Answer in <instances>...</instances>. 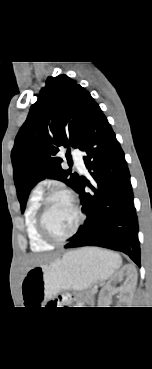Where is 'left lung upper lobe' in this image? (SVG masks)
Returning a JSON list of instances; mask_svg holds the SVG:
<instances>
[{
	"label": "left lung upper lobe",
	"instance_id": "obj_1",
	"mask_svg": "<svg viewBox=\"0 0 152 369\" xmlns=\"http://www.w3.org/2000/svg\"><path fill=\"white\" fill-rule=\"evenodd\" d=\"M98 104L90 93L66 75L48 77L38 100L18 132L12 149L14 182L21 212L32 187L47 178L75 190L77 173L61 168L60 147L79 148ZM70 157V150L67 151Z\"/></svg>",
	"mask_w": 152,
	"mask_h": 369
}]
</instances>
